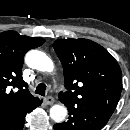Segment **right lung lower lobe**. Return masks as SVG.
Listing matches in <instances>:
<instances>
[{"instance_id":"right-lung-lower-lobe-1","label":"right lung lower lobe","mask_w":130,"mask_h":130,"mask_svg":"<svg viewBox=\"0 0 130 130\" xmlns=\"http://www.w3.org/2000/svg\"><path fill=\"white\" fill-rule=\"evenodd\" d=\"M41 103L42 100H39L35 105L24 110L20 114L0 119V130H22L26 114L41 105Z\"/></svg>"}]
</instances>
